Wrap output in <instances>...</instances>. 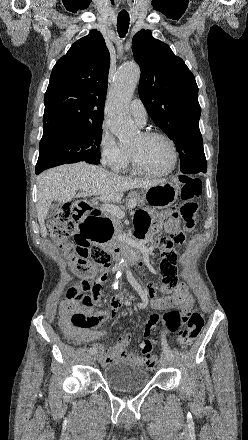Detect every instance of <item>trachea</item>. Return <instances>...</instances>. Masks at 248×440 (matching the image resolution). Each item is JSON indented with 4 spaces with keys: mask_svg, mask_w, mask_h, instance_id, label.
<instances>
[{
    "mask_svg": "<svg viewBox=\"0 0 248 440\" xmlns=\"http://www.w3.org/2000/svg\"><path fill=\"white\" fill-rule=\"evenodd\" d=\"M129 28V15L119 14L117 19V31L121 38L125 37Z\"/></svg>",
    "mask_w": 248,
    "mask_h": 440,
    "instance_id": "obj_1",
    "label": "trachea"
}]
</instances>
